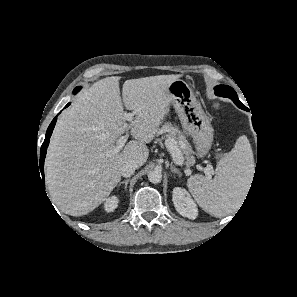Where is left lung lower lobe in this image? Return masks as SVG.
I'll use <instances>...</instances> for the list:
<instances>
[{"label": "left lung lower lobe", "instance_id": "0a47b994", "mask_svg": "<svg viewBox=\"0 0 297 297\" xmlns=\"http://www.w3.org/2000/svg\"><path fill=\"white\" fill-rule=\"evenodd\" d=\"M237 106H238L239 108L243 109V110L248 111V108L245 107V106H244L243 104H241V103H237Z\"/></svg>", "mask_w": 297, "mask_h": 297}]
</instances>
